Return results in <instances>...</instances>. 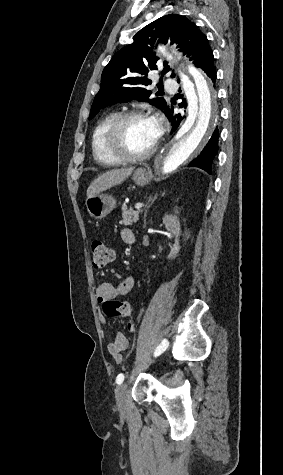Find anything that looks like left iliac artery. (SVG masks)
<instances>
[{
    "label": "left iliac artery",
    "mask_w": 283,
    "mask_h": 475,
    "mask_svg": "<svg viewBox=\"0 0 283 475\" xmlns=\"http://www.w3.org/2000/svg\"><path fill=\"white\" fill-rule=\"evenodd\" d=\"M167 347H168V341L164 339L155 350L154 356H159L162 352L166 350ZM123 381H124V375L120 373L116 378V383L120 385Z\"/></svg>",
    "instance_id": "left-iliac-artery-1"
}]
</instances>
